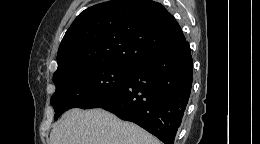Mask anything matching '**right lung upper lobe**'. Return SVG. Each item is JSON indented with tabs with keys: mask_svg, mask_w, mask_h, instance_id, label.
I'll return each mask as SVG.
<instances>
[{
	"mask_svg": "<svg viewBox=\"0 0 260 144\" xmlns=\"http://www.w3.org/2000/svg\"><path fill=\"white\" fill-rule=\"evenodd\" d=\"M185 41L175 18L158 2H104L81 12L66 31L53 76L105 64L132 67Z\"/></svg>",
	"mask_w": 260,
	"mask_h": 144,
	"instance_id": "right-lung-upper-lobe-1",
	"label": "right lung upper lobe"
}]
</instances>
